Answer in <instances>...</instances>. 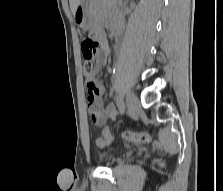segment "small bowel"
Listing matches in <instances>:
<instances>
[{
  "label": "small bowel",
  "mask_w": 223,
  "mask_h": 191,
  "mask_svg": "<svg viewBox=\"0 0 223 191\" xmlns=\"http://www.w3.org/2000/svg\"><path fill=\"white\" fill-rule=\"evenodd\" d=\"M123 24L117 21L115 26V31L120 33L122 31ZM94 36L98 39L100 45L102 46V54L98 56L96 60V69L99 70L105 65V56L108 54V46L105 40V35L103 30L98 27L93 32ZM93 81L95 88L91 89L88 83ZM88 97H87V107L92 121L96 125H102L106 120H114L117 116L116 108L113 104L104 105L101 95L104 92V84L101 80L91 79L87 81Z\"/></svg>",
  "instance_id": "small-bowel-1"
}]
</instances>
